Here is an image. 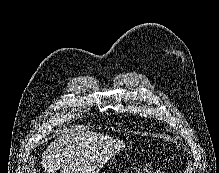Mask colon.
Instances as JSON below:
<instances>
[{"label": "colon", "mask_w": 219, "mask_h": 173, "mask_svg": "<svg viewBox=\"0 0 219 173\" xmlns=\"http://www.w3.org/2000/svg\"><path fill=\"white\" fill-rule=\"evenodd\" d=\"M125 173H154L151 167H133L125 171Z\"/></svg>", "instance_id": "5ec220e1"}]
</instances>
